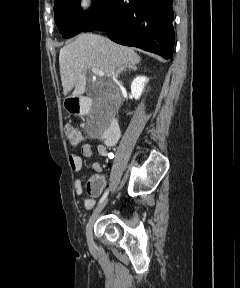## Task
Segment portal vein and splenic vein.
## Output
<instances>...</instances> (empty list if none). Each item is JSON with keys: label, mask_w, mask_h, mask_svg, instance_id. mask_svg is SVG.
Instances as JSON below:
<instances>
[{"label": "portal vein and splenic vein", "mask_w": 240, "mask_h": 288, "mask_svg": "<svg viewBox=\"0 0 240 288\" xmlns=\"http://www.w3.org/2000/svg\"><path fill=\"white\" fill-rule=\"evenodd\" d=\"M91 70H92V72L94 74H96L99 77H103L104 76V72L102 70H99V69H97L95 67H92Z\"/></svg>", "instance_id": "18ae733b"}]
</instances>
